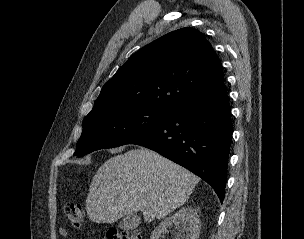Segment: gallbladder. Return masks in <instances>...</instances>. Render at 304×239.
Instances as JSON below:
<instances>
[{"instance_id": "1", "label": "gallbladder", "mask_w": 304, "mask_h": 239, "mask_svg": "<svg viewBox=\"0 0 304 239\" xmlns=\"http://www.w3.org/2000/svg\"><path fill=\"white\" fill-rule=\"evenodd\" d=\"M140 223V219L135 214L125 216L119 223V227L123 230H133Z\"/></svg>"}]
</instances>
